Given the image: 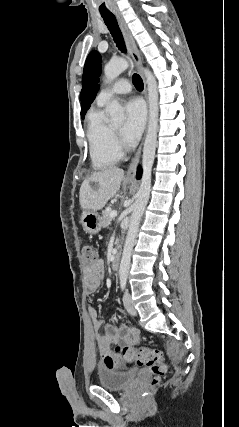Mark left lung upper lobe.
Here are the masks:
<instances>
[{
	"label": "left lung upper lobe",
	"mask_w": 239,
	"mask_h": 427,
	"mask_svg": "<svg viewBox=\"0 0 239 427\" xmlns=\"http://www.w3.org/2000/svg\"><path fill=\"white\" fill-rule=\"evenodd\" d=\"M101 56L97 51H91L88 55L82 78L81 91V117L85 116L87 109L95 99V96L100 88L99 76L101 73Z\"/></svg>",
	"instance_id": "1"
}]
</instances>
